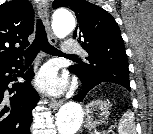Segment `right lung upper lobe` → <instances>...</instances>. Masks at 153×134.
I'll use <instances>...</instances> for the list:
<instances>
[{
    "label": "right lung upper lobe",
    "mask_w": 153,
    "mask_h": 134,
    "mask_svg": "<svg viewBox=\"0 0 153 134\" xmlns=\"http://www.w3.org/2000/svg\"><path fill=\"white\" fill-rule=\"evenodd\" d=\"M34 12L27 0H13L0 5V66L22 60V51L33 33ZM19 45V47H18Z\"/></svg>",
    "instance_id": "obj_1"
}]
</instances>
